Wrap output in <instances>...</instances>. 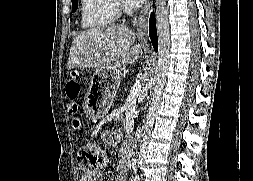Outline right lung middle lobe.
Returning a JSON list of instances; mask_svg holds the SVG:
<instances>
[{"label":"right lung middle lobe","instance_id":"obj_1","mask_svg":"<svg viewBox=\"0 0 253 181\" xmlns=\"http://www.w3.org/2000/svg\"><path fill=\"white\" fill-rule=\"evenodd\" d=\"M78 3H77V0H72V11H76L77 8H78Z\"/></svg>","mask_w":253,"mask_h":181}]
</instances>
